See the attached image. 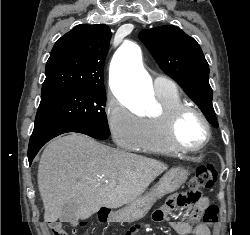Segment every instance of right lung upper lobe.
I'll return each mask as SVG.
<instances>
[{
  "label": "right lung upper lobe",
  "instance_id": "right-lung-upper-lobe-1",
  "mask_svg": "<svg viewBox=\"0 0 250 235\" xmlns=\"http://www.w3.org/2000/svg\"><path fill=\"white\" fill-rule=\"evenodd\" d=\"M110 38L111 31L105 24H81L62 36L47 61L41 97L68 90L103 88Z\"/></svg>",
  "mask_w": 250,
  "mask_h": 235
}]
</instances>
